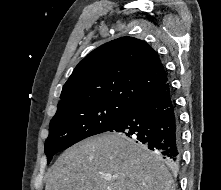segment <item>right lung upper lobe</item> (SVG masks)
Returning a JSON list of instances; mask_svg holds the SVG:
<instances>
[{"label": "right lung upper lobe", "mask_w": 221, "mask_h": 190, "mask_svg": "<svg viewBox=\"0 0 221 190\" xmlns=\"http://www.w3.org/2000/svg\"><path fill=\"white\" fill-rule=\"evenodd\" d=\"M167 82L152 47L136 38L121 37L93 50L75 67L63 86L58 109L108 99L132 104Z\"/></svg>", "instance_id": "cb5924a9"}]
</instances>
